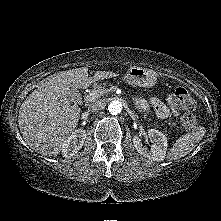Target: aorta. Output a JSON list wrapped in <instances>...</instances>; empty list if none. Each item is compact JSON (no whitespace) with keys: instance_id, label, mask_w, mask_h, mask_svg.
<instances>
[{"instance_id":"obj_1","label":"aorta","mask_w":221,"mask_h":221,"mask_svg":"<svg viewBox=\"0 0 221 221\" xmlns=\"http://www.w3.org/2000/svg\"><path fill=\"white\" fill-rule=\"evenodd\" d=\"M108 110L112 115H117L122 111V104L118 100L110 102L108 105Z\"/></svg>"}]
</instances>
